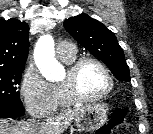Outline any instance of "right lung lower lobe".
Returning a JSON list of instances; mask_svg holds the SVG:
<instances>
[{
  "instance_id": "obj_1",
  "label": "right lung lower lobe",
  "mask_w": 153,
  "mask_h": 134,
  "mask_svg": "<svg viewBox=\"0 0 153 134\" xmlns=\"http://www.w3.org/2000/svg\"><path fill=\"white\" fill-rule=\"evenodd\" d=\"M25 114V110L19 105L0 104V118H15Z\"/></svg>"
}]
</instances>
